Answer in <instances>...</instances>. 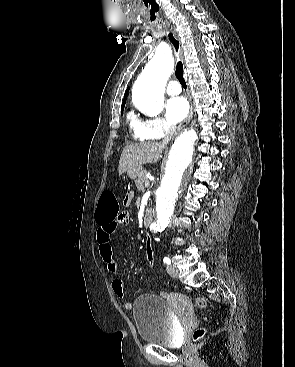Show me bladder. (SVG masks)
I'll list each match as a JSON object with an SVG mask.
<instances>
[{"instance_id": "1", "label": "bladder", "mask_w": 295, "mask_h": 367, "mask_svg": "<svg viewBox=\"0 0 295 367\" xmlns=\"http://www.w3.org/2000/svg\"><path fill=\"white\" fill-rule=\"evenodd\" d=\"M132 313L143 342L166 347L178 345L180 330L163 298L152 294L141 295L134 301Z\"/></svg>"}]
</instances>
